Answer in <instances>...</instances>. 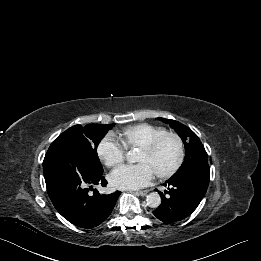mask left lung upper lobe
<instances>
[{
	"label": "left lung upper lobe",
	"mask_w": 261,
	"mask_h": 261,
	"mask_svg": "<svg viewBox=\"0 0 261 261\" xmlns=\"http://www.w3.org/2000/svg\"><path fill=\"white\" fill-rule=\"evenodd\" d=\"M169 123L178 133L185 145V160L180 169L172 177L183 175L199 166L208 164L207 153L198 136L187 126L178 121L159 118Z\"/></svg>",
	"instance_id": "5c2ea615"
}]
</instances>
